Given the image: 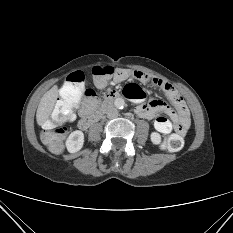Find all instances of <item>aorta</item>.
I'll return each mask as SVG.
<instances>
[{
	"mask_svg": "<svg viewBox=\"0 0 233 233\" xmlns=\"http://www.w3.org/2000/svg\"><path fill=\"white\" fill-rule=\"evenodd\" d=\"M114 105L118 109H123L125 106V101L123 98H116L114 101Z\"/></svg>",
	"mask_w": 233,
	"mask_h": 233,
	"instance_id": "1",
	"label": "aorta"
}]
</instances>
